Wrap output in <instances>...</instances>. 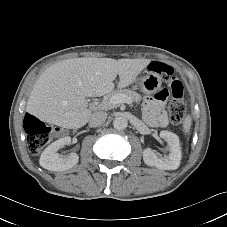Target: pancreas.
Here are the masks:
<instances>
[{
	"label": "pancreas",
	"instance_id": "cf45deb5",
	"mask_svg": "<svg viewBox=\"0 0 227 227\" xmlns=\"http://www.w3.org/2000/svg\"><path fill=\"white\" fill-rule=\"evenodd\" d=\"M117 94L125 95L126 97L131 98V100H132V101H135L136 103H139L140 100H141V95L138 94V93L135 92V91L128 90V89L117 90V91H114V92L108 94V95L105 97V99L103 100V102H102L100 108L103 109V110H110V109L114 108L115 105L110 104V99H111L114 95H117Z\"/></svg>",
	"mask_w": 227,
	"mask_h": 227
}]
</instances>
